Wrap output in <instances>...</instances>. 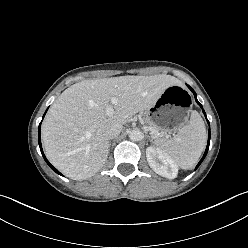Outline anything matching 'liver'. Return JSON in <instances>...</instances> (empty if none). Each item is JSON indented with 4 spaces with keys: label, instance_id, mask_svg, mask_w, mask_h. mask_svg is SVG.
Masks as SVG:
<instances>
[{
    "label": "liver",
    "instance_id": "1",
    "mask_svg": "<svg viewBox=\"0 0 248 248\" xmlns=\"http://www.w3.org/2000/svg\"><path fill=\"white\" fill-rule=\"evenodd\" d=\"M180 84L166 74L87 79L73 84L57 98L42 125L48 160L73 180L93 176L107 160V127L126 124L134 114L154 105L168 87ZM112 97L118 103L108 116L106 108Z\"/></svg>",
    "mask_w": 248,
    "mask_h": 248
}]
</instances>
